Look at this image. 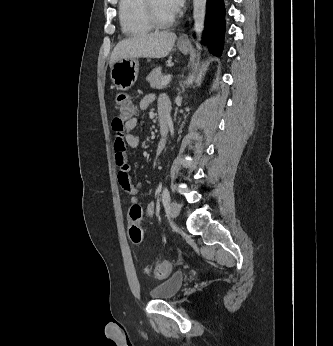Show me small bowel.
Masks as SVG:
<instances>
[{"instance_id": "small-bowel-1", "label": "small bowel", "mask_w": 333, "mask_h": 346, "mask_svg": "<svg viewBox=\"0 0 333 346\" xmlns=\"http://www.w3.org/2000/svg\"><path fill=\"white\" fill-rule=\"evenodd\" d=\"M153 101V95L145 96L139 103V109L141 111L146 110ZM159 116L169 118V107L165 99L160 101ZM142 124L143 120L136 116L127 119L125 122L116 117L112 123L114 131L115 162L118 166V181L121 188L130 194L132 206L139 205L137 195L140 192L141 185L139 183H133L130 179V165L127 161L126 146L135 148L139 145L140 138L138 135L133 134L132 131L137 126H142ZM163 147L164 142L161 141L157 148L158 154L162 151ZM155 213L156 204L154 202L149 203L146 208L142 210L143 216L148 218L153 217Z\"/></svg>"}]
</instances>
